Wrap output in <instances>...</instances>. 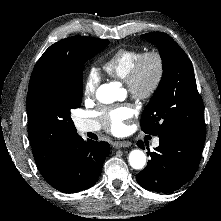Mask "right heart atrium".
<instances>
[{
	"label": "right heart atrium",
	"instance_id": "1",
	"mask_svg": "<svg viewBox=\"0 0 221 221\" xmlns=\"http://www.w3.org/2000/svg\"><path fill=\"white\" fill-rule=\"evenodd\" d=\"M100 82V76L96 69L91 68L86 74L83 86V93L86 98L92 97Z\"/></svg>",
	"mask_w": 221,
	"mask_h": 221
}]
</instances>
